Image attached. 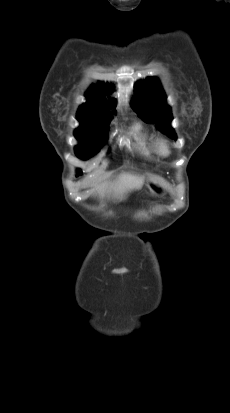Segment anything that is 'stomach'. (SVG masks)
Instances as JSON below:
<instances>
[{"mask_svg":"<svg viewBox=\"0 0 230 413\" xmlns=\"http://www.w3.org/2000/svg\"><path fill=\"white\" fill-rule=\"evenodd\" d=\"M148 191L152 194H163L164 189L160 185H156L154 183H150L146 185Z\"/></svg>","mask_w":230,"mask_h":413,"instance_id":"obj_1","label":"stomach"}]
</instances>
